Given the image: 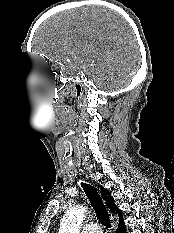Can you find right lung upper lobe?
<instances>
[{
  "mask_svg": "<svg viewBox=\"0 0 174 233\" xmlns=\"http://www.w3.org/2000/svg\"><path fill=\"white\" fill-rule=\"evenodd\" d=\"M99 186L101 187V195H102L103 199L106 201V206L111 210V212H115L120 217L118 227L123 226L124 221H123V217H122V211H120L118 209V207L115 205L114 199L111 196V193L107 189L103 188L101 185H99Z\"/></svg>",
  "mask_w": 174,
  "mask_h": 233,
  "instance_id": "obj_1",
  "label": "right lung upper lobe"
}]
</instances>
